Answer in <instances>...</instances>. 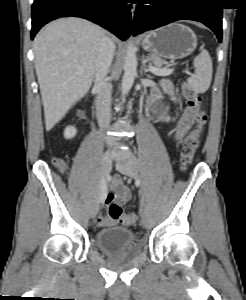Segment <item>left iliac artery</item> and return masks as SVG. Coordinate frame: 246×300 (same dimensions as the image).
Masks as SVG:
<instances>
[{"label":"left iliac artery","instance_id":"1","mask_svg":"<svg viewBox=\"0 0 246 300\" xmlns=\"http://www.w3.org/2000/svg\"><path fill=\"white\" fill-rule=\"evenodd\" d=\"M134 162L139 165L138 160L134 157Z\"/></svg>","mask_w":246,"mask_h":300}]
</instances>
